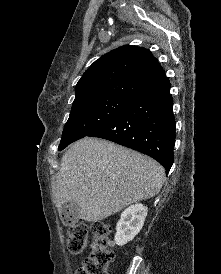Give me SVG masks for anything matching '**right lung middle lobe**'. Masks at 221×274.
<instances>
[{
  "label": "right lung middle lobe",
  "mask_w": 221,
  "mask_h": 274,
  "mask_svg": "<svg viewBox=\"0 0 221 274\" xmlns=\"http://www.w3.org/2000/svg\"><path fill=\"white\" fill-rule=\"evenodd\" d=\"M133 99L117 96L90 97L75 100L58 150L90 135L124 109Z\"/></svg>",
  "instance_id": "dd1d6c3e"
}]
</instances>
